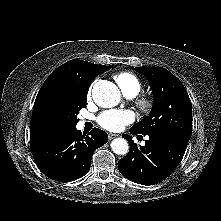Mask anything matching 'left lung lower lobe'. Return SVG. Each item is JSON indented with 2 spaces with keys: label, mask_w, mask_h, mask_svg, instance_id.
<instances>
[{
  "label": "left lung lower lobe",
  "mask_w": 221,
  "mask_h": 221,
  "mask_svg": "<svg viewBox=\"0 0 221 221\" xmlns=\"http://www.w3.org/2000/svg\"><path fill=\"white\" fill-rule=\"evenodd\" d=\"M130 133H138L130 129ZM145 146L138 147L131 136L123 135L129 144V153L119 160L118 169L132 182L151 185L164 180L178 166L187 144L165 135H148Z\"/></svg>",
  "instance_id": "left-lung-lower-lobe-1"
}]
</instances>
